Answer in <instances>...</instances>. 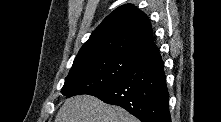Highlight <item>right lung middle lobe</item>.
Listing matches in <instances>:
<instances>
[{
    "instance_id": "1",
    "label": "right lung middle lobe",
    "mask_w": 221,
    "mask_h": 122,
    "mask_svg": "<svg viewBox=\"0 0 221 122\" xmlns=\"http://www.w3.org/2000/svg\"><path fill=\"white\" fill-rule=\"evenodd\" d=\"M135 62L130 58L108 56L73 65L61 93L69 98L105 88L125 75Z\"/></svg>"
}]
</instances>
